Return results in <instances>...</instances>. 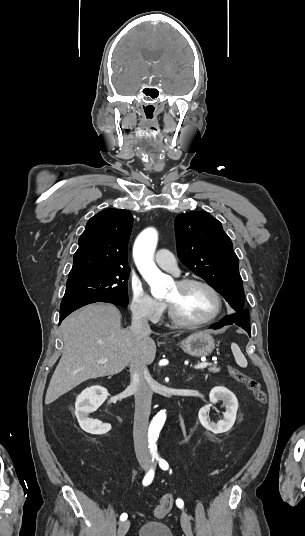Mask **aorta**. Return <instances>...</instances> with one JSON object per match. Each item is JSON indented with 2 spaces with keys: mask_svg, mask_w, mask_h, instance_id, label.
Listing matches in <instances>:
<instances>
[{
  "mask_svg": "<svg viewBox=\"0 0 305 536\" xmlns=\"http://www.w3.org/2000/svg\"><path fill=\"white\" fill-rule=\"evenodd\" d=\"M157 242V231L154 228L145 229L135 240L133 258L140 274L149 284L151 294L155 298H162L166 295L172 281L158 269L153 260ZM165 420L166 412L165 410H161L154 416L151 422L152 428L160 430Z\"/></svg>",
  "mask_w": 305,
  "mask_h": 536,
  "instance_id": "obj_1",
  "label": "aorta"
}]
</instances>
